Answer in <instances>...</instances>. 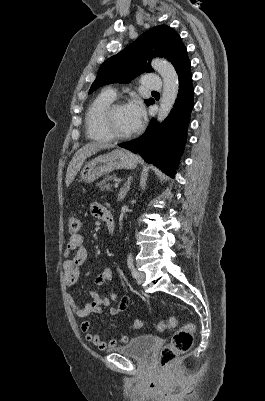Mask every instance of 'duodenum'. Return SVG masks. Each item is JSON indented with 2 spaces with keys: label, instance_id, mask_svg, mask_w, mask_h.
<instances>
[{
  "label": "duodenum",
  "instance_id": "obj_1",
  "mask_svg": "<svg viewBox=\"0 0 265 401\" xmlns=\"http://www.w3.org/2000/svg\"><path fill=\"white\" fill-rule=\"evenodd\" d=\"M103 220L106 223L109 233L112 234L114 232L115 223L113 215L108 210L104 213Z\"/></svg>",
  "mask_w": 265,
  "mask_h": 401
}]
</instances>
